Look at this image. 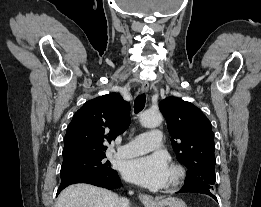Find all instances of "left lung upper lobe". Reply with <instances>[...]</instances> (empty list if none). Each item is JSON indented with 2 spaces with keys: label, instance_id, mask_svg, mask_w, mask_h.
<instances>
[{
  "label": "left lung upper lobe",
  "instance_id": "1",
  "mask_svg": "<svg viewBox=\"0 0 261 207\" xmlns=\"http://www.w3.org/2000/svg\"><path fill=\"white\" fill-rule=\"evenodd\" d=\"M178 161L187 168L186 184H215L214 134L211 122L190 102L168 97L159 104Z\"/></svg>",
  "mask_w": 261,
  "mask_h": 207
}]
</instances>
